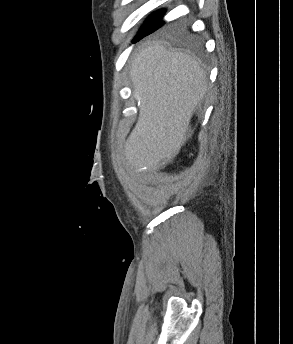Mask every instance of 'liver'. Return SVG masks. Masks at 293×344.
Wrapping results in <instances>:
<instances>
[{"instance_id": "1", "label": "liver", "mask_w": 293, "mask_h": 344, "mask_svg": "<svg viewBox=\"0 0 293 344\" xmlns=\"http://www.w3.org/2000/svg\"><path fill=\"white\" fill-rule=\"evenodd\" d=\"M130 78L139 117L125 143V159L134 167L157 169L179 153L206 94L207 76L191 56L154 42L134 56Z\"/></svg>"}]
</instances>
